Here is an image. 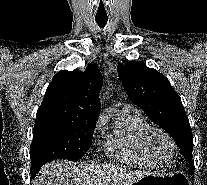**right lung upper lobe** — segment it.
<instances>
[{
  "mask_svg": "<svg viewBox=\"0 0 207 185\" xmlns=\"http://www.w3.org/2000/svg\"><path fill=\"white\" fill-rule=\"evenodd\" d=\"M102 83V75L93 64L84 72H58L45 92L36 118H63L95 125L101 110Z\"/></svg>",
  "mask_w": 207,
  "mask_h": 185,
  "instance_id": "1",
  "label": "right lung upper lobe"
}]
</instances>
